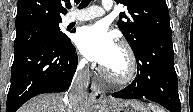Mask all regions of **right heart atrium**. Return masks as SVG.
<instances>
[{
  "label": "right heart atrium",
  "instance_id": "obj_1",
  "mask_svg": "<svg viewBox=\"0 0 193 112\" xmlns=\"http://www.w3.org/2000/svg\"><path fill=\"white\" fill-rule=\"evenodd\" d=\"M78 68L82 71H87L88 64L84 58H79L78 60Z\"/></svg>",
  "mask_w": 193,
  "mask_h": 112
}]
</instances>
